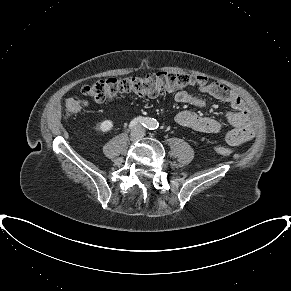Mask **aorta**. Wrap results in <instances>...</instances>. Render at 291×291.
Wrapping results in <instances>:
<instances>
[{
    "label": "aorta",
    "instance_id": "1",
    "mask_svg": "<svg viewBox=\"0 0 291 291\" xmlns=\"http://www.w3.org/2000/svg\"><path fill=\"white\" fill-rule=\"evenodd\" d=\"M150 127H151V128H155V127H157V121H156L155 119H152V120H151Z\"/></svg>",
    "mask_w": 291,
    "mask_h": 291
}]
</instances>
